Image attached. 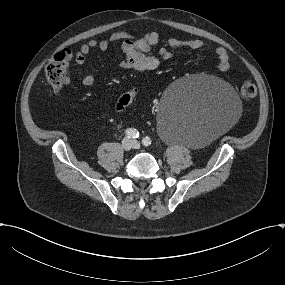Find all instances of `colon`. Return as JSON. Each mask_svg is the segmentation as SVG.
Returning a JSON list of instances; mask_svg holds the SVG:
<instances>
[{
    "mask_svg": "<svg viewBox=\"0 0 285 285\" xmlns=\"http://www.w3.org/2000/svg\"><path fill=\"white\" fill-rule=\"evenodd\" d=\"M71 60V52L62 50L56 53L48 62L45 74L48 82L53 86H61L67 77L69 62ZM240 96L245 101H252L257 96V87L250 81L244 82L239 89ZM137 90L132 89L123 94L117 102L116 109L123 110L135 98Z\"/></svg>",
    "mask_w": 285,
    "mask_h": 285,
    "instance_id": "1",
    "label": "colon"
}]
</instances>
